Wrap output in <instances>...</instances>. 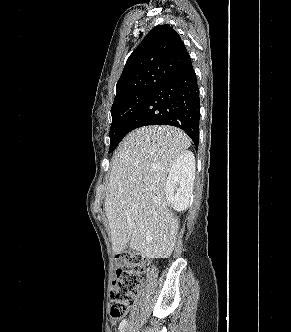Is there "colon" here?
Listing matches in <instances>:
<instances>
[{
	"mask_svg": "<svg viewBox=\"0 0 291 332\" xmlns=\"http://www.w3.org/2000/svg\"><path fill=\"white\" fill-rule=\"evenodd\" d=\"M117 269L111 292L110 314L113 318L125 315L133 305L142 283L145 259L136 253L124 252Z\"/></svg>",
	"mask_w": 291,
	"mask_h": 332,
	"instance_id": "obj_1",
	"label": "colon"
}]
</instances>
